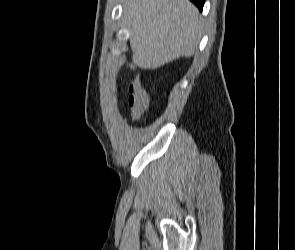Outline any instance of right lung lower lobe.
<instances>
[{"label": "right lung lower lobe", "mask_w": 295, "mask_h": 250, "mask_svg": "<svg viewBox=\"0 0 295 250\" xmlns=\"http://www.w3.org/2000/svg\"><path fill=\"white\" fill-rule=\"evenodd\" d=\"M190 1L193 2L199 8L200 11H202L205 0H190Z\"/></svg>", "instance_id": "1"}]
</instances>
